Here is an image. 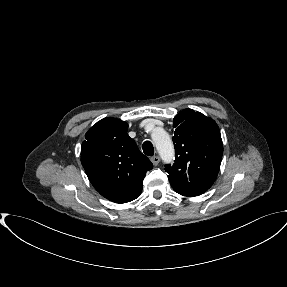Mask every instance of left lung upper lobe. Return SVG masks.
Here are the masks:
<instances>
[{"instance_id":"left-lung-upper-lobe-1","label":"left lung upper lobe","mask_w":287,"mask_h":287,"mask_svg":"<svg viewBox=\"0 0 287 287\" xmlns=\"http://www.w3.org/2000/svg\"><path fill=\"white\" fill-rule=\"evenodd\" d=\"M175 162L165 166L172 188L194 197L214 183L221 164L223 144L214 120L200 112L185 109L174 117Z\"/></svg>"}]
</instances>
